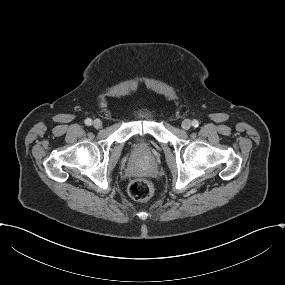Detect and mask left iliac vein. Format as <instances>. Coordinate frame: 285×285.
Returning <instances> with one entry per match:
<instances>
[{"mask_svg": "<svg viewBox=\"0 0 285 285\" xmlns=\"http://www.w3.org/2000/svg\"><path fill=\"white\" fill-rule=\"evenodd\" d=\"M191 126H192L191 120L185 119V120L182 121V127H183V129L189 130V129L191 128Z\"/></svg>", "mask_w": 285, "mask_h": 285, "instance_id": "1", "label": "left iliac vein"}]
</instances>
